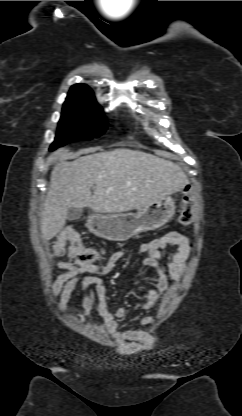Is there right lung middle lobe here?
Returning <instances> with one entry per match:
<instances>
[{
	"mask_svg": "<svg viewBox=\"0 0 242 416\" xmlns=\"http://www.w3.org/2000/svg\"><path fill=\"white\" fill-rule=\"evenodd\" d=\"M106 129L107 121L98 103L64 104L50 150L73 141L96 138Z\"/></svg>",
	"mask_w": 242,
	"mask_h": 416,
	"instance_id": "obj_1",
	"label": "right lung middle lobe"
}]
</instances>
